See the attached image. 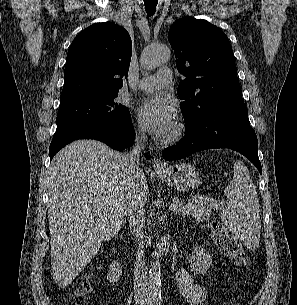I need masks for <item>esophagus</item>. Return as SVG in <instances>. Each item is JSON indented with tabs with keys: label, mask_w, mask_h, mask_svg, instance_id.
Instances as JSON below:
<instances>
[{
	"label": "esophagus",
	"mask_w": 297,
	"mask_h": 305,
	"mask_svg": "<svg viewBox=\"0 0 297 305\" xmlns=\"http://www.w3.org/2000/svg\"><path fill=\"white\" fill-rule=\"evenodd\" d=\"M153 167L155 170H161L164 168V164L160 159H155L153 162Z\"/></svg>",
	"instance_id": "34e87169"
}]
</instances>
